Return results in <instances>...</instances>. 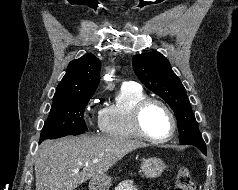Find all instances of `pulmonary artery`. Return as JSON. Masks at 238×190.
<instances>
[{
	"label": "pulmonary artery",
	"instance_id": "pulmonary-artery-1",
	"mask_svg": "<svg viewBox=\"0 0 238 190\" xmlns=\"http://www.w3.org/2000/svg\"><path fill=\"white\" fill-rule=\"evenodd\" d=\"M122 87L125 88H134V87H139L137 83L133 82V81H125L122 84Z\"/></svg>",
	"mask_w": 238,
	"mask_h": 190
}]
</instances>
